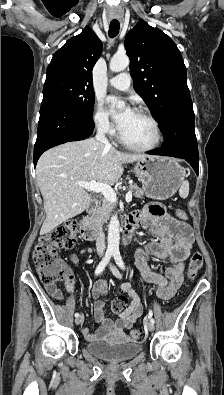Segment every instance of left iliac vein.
<instances>
[{
  "label": "left iliac vein",
  "mask_w": 224,
  "mask_h": 395,
  "mask_svg": "<svg viewBox=\"0 0 224 395\" xmlns=\"http://www.w3.org/2000/svg\"><path fill=\"white\" fill-rule=\"evenodd\" d=\"M110 270L112 271V273H113L117 278H121L120 272L118 271V269H117L114 265H112V264L110 265ZM146 327H147V329H148L150 332L154 331V329H155L154 323H152V322H148V323L146 324Z\"/></svg>",
  "instance_id": "obj_1"
}]
</instances>
